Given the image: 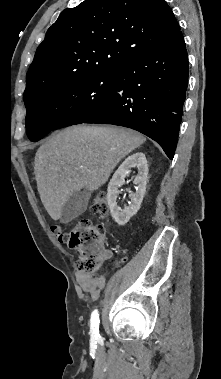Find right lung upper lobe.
Listing matches in <instances>:
<instances>
[{"mask_svg":"<svg viewBox=\"0 0 221 379\" xmlns=\"http://www.w3.org/2000/svg\"><path fill=\"white\" fill-rule=\"evenodd\" d=\"M179 30L165 0H85L65 9L37 48L24 102L76 77L118 69Z\"/></svg>","mask_w":221,"mask_h":379,"instance_id":"cb5924a9","label":"right lung upper lobe"}]
</instances>
